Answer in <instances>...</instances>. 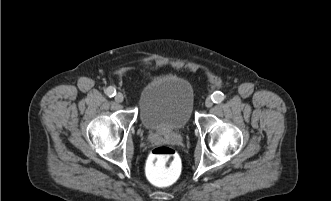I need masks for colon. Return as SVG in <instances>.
Masks as SVG:
<instances>
[{"label": "colon", "mask_w": 331, "mask_h": 201, "mask_svg": "<svg viewBox=\"0 0 331 201\" xmlns=\"http://www.w3.org/2000/svg\"><path fill=\"white\" fill-rule=\"evenodd\" d=\"M181 169V159L177 151L169 146H157L152 149L146 163L148 179L159 187L176 182Z\"/></svg>", "instance_id": "5ec220e1"}]
</instances>
